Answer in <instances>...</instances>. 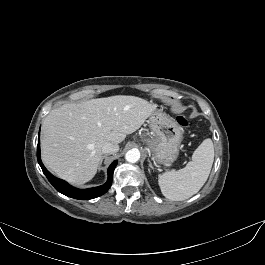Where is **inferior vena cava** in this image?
Instances as JSON below:
<instances>
[{
  "label": "inferior vena cava",
  "instance_id": "602c4592",
  "mask_svg": "<svg viewBox=\"0 0 265 265\" xmlns=\"http://www.w3.org/2000/svg\"><path fill=\"white\" fill-rule=\"evenodd\" d=\"M119 150L118 145L112 144L110 142L105 143L102 147V153L104 154H114Z\"/></svg>",
  "mask_w": 265,
  "mask_h": 265
}]
</instances>
